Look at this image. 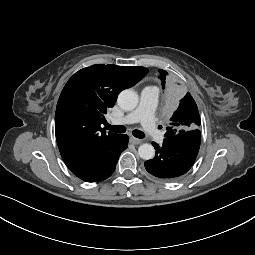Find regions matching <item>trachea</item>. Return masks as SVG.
Masks as SVG:
<instances>
[{
    "label": "trachea",
    "mask_w": 255,
    "mask_h": 255,
    "mask_svg": "<svg viewBox=\"0 0 255 255\" xmlns=\"http://www.w3.org/2000/svg\"><path fill=\"white\" fill-rule=\"evenodd\" d=\"M106 129L112 131V132H116V133H125L126 132V127L123 125H110V124H106ZM132 134L136 137V138H144L145 134L140 131V130H133Z\"/></svg>",
    "instance_id": "obj_1"
}]
</instances>
